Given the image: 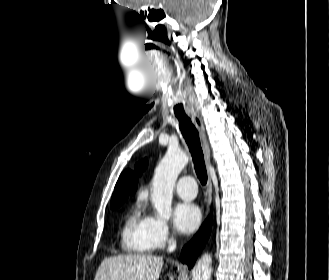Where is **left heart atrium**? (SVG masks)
Masks as SVG:
<instances>
[{
	"label": "left heart atrium",
	"mask_w": 329,
	"mask_h": 280,
	"mask_svg": "<svg viewBox=\"0 0 329 280\" xmlns=\"http://www.w3.org/2000/svg\"><path fill=\"white\" fill-rule=\"evenodd\" d=\"M173 221L180 232L188 234L198 228L201 221V212L195 204L181 202L174 209Z\"/></svg>",
	"instance_id": "obj_1"
}]
</instances>
